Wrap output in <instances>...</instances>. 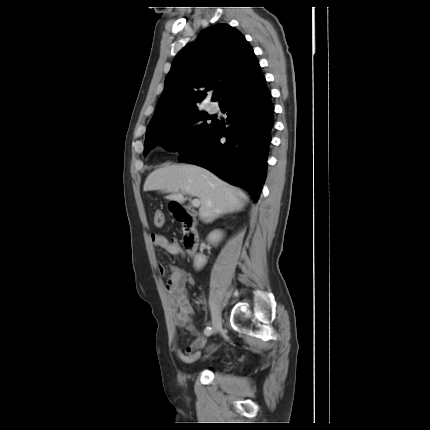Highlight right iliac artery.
I'll return each instance as SVG.
<instances>
[{
    "instance_id": "right-iliac-artery-1",
    "label": "right iliac artery",
    "mask_w": 430,
    "mask_h": 430,
    "mask_svg": "<svg viewBox=\"0 0 430 430\" xmlns=\"http://www.w3.org/2000/svg\"><path fill=\"white\" fill-rule=\"evenodd\" d=\"M212 328L211 327H207L205 330H204V333H205V335H207V336H209V335H211L212 334Z\"/></svg>"
}]
</instances>
